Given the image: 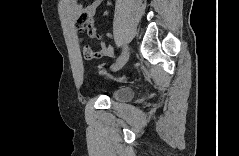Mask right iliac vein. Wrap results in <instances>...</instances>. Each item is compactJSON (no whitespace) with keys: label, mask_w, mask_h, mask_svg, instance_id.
Returning a JSON list of instances; mask_svg holds the SVG:
<instances>
[{"label":"right iliac vein","mask_w":239,"mask_h":156,"mask_svg":"<svg viewBox=\"0 0 239 156\" xmlns=\"http://www.w3.org/2000/svg\"><path fill=\"white\" fill-rule=\"evenodd\" d=\"M129 58V50L125 52V54L116 61V63L112 66V71H118L120 70L128 61Z\"/></svg>","instance_id":"obj_1"}]
</instances>
